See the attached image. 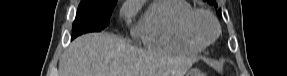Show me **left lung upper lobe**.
<instances>
[{
  "mask_svg": "<svg viewBox=\"0 0 287 76\" xmlns=\"http://www.w3.org/2000/svg\"><path fill=\"white\" fill-rule=\"evenodd\" d=\"M204 1H206V2H208L209 4H211V5L215 6V7H217V3H216L215 0H204ZM218 14L221 15V10L218 11Z\"/></svg>",
  "mask_w": 287,
  "mask_h": 76,
  "instance_id": "obj_1",
  "label": "left lung upper lobe"
}]
</instances>
